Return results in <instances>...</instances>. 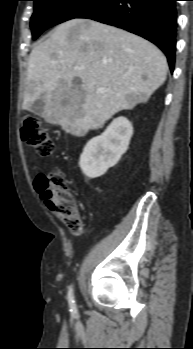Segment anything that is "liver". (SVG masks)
Segmentation results:
<instances>
[{
	"instance_id": "6515ba94",
	"label": "liver",
	"mask_w": 193,
	"mask_h": 349,
	"mask_svg": "<svg viewBox=\"0 0 193 349\" xmlns=\"http://www.w3.org/2000/svg\"><path fill=\"white\" fill-rule=\"evenodd\" d=\"M167 70L166 57L149 41L93 20L72 19L31 51L22 107L43 99L45 122L82 137L117 112L147 102Z\"/></svg>"
}]
</instances>
